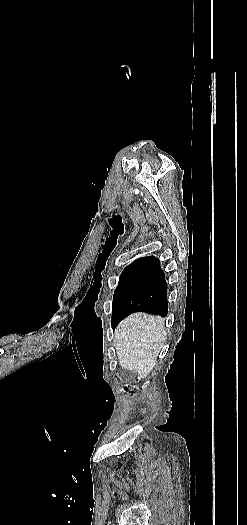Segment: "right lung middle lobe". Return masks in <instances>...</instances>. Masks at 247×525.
<instances>
[{
    "label": "right lung middle lobe",
    "instance_id": "right-lung-middle-lobe-1",
    "mask_svg": "<svg viewBox=\"0 0 247 525\" xmlns=\"http://www.w3.org/2000/svg\"><path fill=\"white\" fill-rule=\"evenodd\" d=\"M155 260L156 258L152 259L150 264L144 268L122 272L119 278L118 286L115 290L114 297H113L112 321H111L112 324L120 316L121 308L125 300L127 299V297L135 289L138 282L146 275V273L149 271L151 267V264Z\"/></svg>",
    "mask_w": 247,
    "mask_h": 525
}]
</instances>
